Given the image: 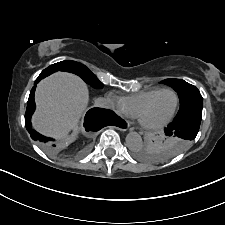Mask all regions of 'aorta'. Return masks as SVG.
Masks as SVG:
<instances>
[{"label":"aorta","mask_w":225,"mask_h":225,"mask_svg":"<svg viewBox=\"0 0 225 225\" xmlns=\"http://www.w3.org/2000/svg\"><path fill=\"white\" fill-rule=\"evenodd\" d=\"M126 145L132 151H138L142 148V138L138 133L131 132L126 137Z\"/></svg>","instance_id":"762f6f07"}]
</instances>
